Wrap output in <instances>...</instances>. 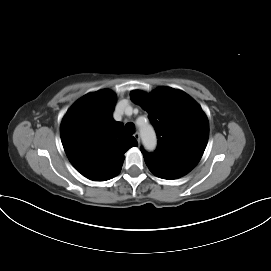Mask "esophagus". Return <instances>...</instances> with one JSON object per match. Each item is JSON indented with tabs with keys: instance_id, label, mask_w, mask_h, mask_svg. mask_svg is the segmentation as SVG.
<instances>
[{
	"instance_id": "obj_1",
	"label": "esophagus",
	"mask_w": 271,
	"mask_h": 271,
	"mask_svg": "<svg viewBox=\"0 0 271 271\" xmlns=\"http://www.w3.org/2000/svg\"><path fill=\"white\" fill-rule=\"evenodd\" d=\"M134 138L136 139V141H137L138 143H140V134H139V132H136V133L134 134Z\"/></svg>"
}]
</instances>
